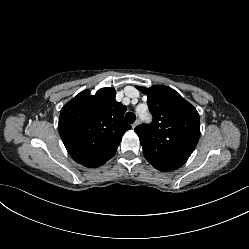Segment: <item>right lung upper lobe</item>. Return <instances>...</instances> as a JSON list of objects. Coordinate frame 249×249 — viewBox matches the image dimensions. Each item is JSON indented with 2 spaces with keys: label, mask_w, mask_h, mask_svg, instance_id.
<instances>
[{
  "label": "right lung upper lobe",
  "mask_w": 249,
  "mask_h": 249,
  "mask_svg": "<svg viewBox=\"0 0 249 249\" xmlns=\"http://www.w3.org/2000/svg\"><path fill=\"white\" fill-rule=\"evenodd\" d=\"M115 95L114 88H102L95 95L84 90L61 109L59 134L77 163L114 155L122 136L132 128L123 118L127 108Z\"/></svg>",
  "instance_id": "cb5924a9"
}]
</instances>
